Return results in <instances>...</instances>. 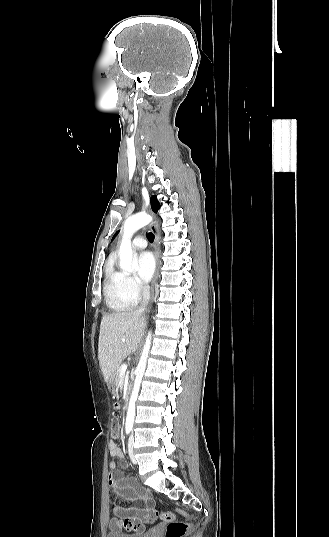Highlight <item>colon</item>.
I'll return each mask as SVG.
<instances>
[{
  "instance_id": "colon-1",
  "label": "colon",
  "mask_w": 329,
  "mask_h": 537,
  "mask_svg": "<svg viewBox=\"0 0 329 537\" xmlns=\"http://www.w3.org/2000/svg\"><path fill=\"white\" fill-rule=\"evenodd\" d=\"M111 436L114 439L120 436V426L117 419L112 422ZM116 508V507H114ZM186 517V513L178 509L174 512H163L161 518L167 523L166 537H184L188 531L189 524L186 521L180 520Z\"/></svg>"
}]
</instances>
